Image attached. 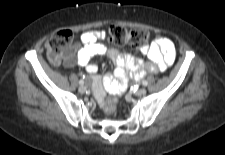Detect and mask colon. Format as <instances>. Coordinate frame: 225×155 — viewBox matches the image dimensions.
<instances>
[{
    "label": "colon",
    "instance_id": "1",
    "mask_svg": "<svg viewBox=\"0 0 225 155\" xmlns=\"http://www.w3.org/2000/svg\"><path fill=\"white\" fill-rule=\"evenodd\" d=\"M109 38L116 45L122 46L130 44L135 47L145 45L150 39V33L144 29H128L120 25H111L108 29ZM73 34L69 30H60L53 34L46 42V51L49 60L54 64H59L62 59L70 60L72 57ZM106 111L112 114L115 109L113 102L108 99Z\"/></svg>",
    "mask_w": 225,
    "mask_h": 155
}]
</instances>
